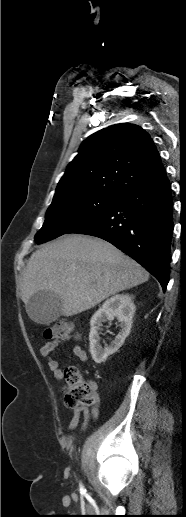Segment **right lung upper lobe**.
Instances as JSON below:
<instances>
[{
	"instance_id": "obj_1",
	"label": "right lung upper lobe",
	"mask_w": 186,
	"mask_h": 517,
	"mask_svg": "<svg viewBox=\"0 0 186 517\" xmlns=\"http://www.w3.org/2000/svg\"><path fill=\"white\" fill-rule=\"evenodd\" d=\"M67 166L54 198L74 194L121 197L166 176L151 137L139 126L120 123L86 139Z\"/></svg>"
}]
</instances>
